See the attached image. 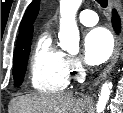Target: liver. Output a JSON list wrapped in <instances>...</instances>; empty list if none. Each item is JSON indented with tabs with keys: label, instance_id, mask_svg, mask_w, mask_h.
<instances>
[{
	"label": "liver",
	"instance_id": "6515ba94",
	"mask_svg": "<svg viewBox=\"0 0 123 113\" xmlns=\"http://www.w3.org/2000/svg\"><path fill=\"white\" fill-rule=\"evenodd\" d=\"M87 101L72 93L39 94L16 98L13 113H84Z\"/></svg>",
	"mask_w": 123,
	"mask_h": 113
}]
</instances>
